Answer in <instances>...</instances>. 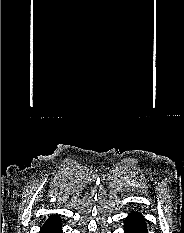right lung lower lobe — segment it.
<instances>
[{
	"label": "right lung lower lobe",
	"instance_id": "obj_1",
	"mask_svg": "<svg viewBox=\"0 0 184 233\" xmlns=\"http://www.w3.org/2000/svg\"><path fill=\"white\" fill-rule=\"evenodd\" d=\"M39 233H63L60 217L57 215L50 216V218L43 224Z\"/></svg>",
	"mask_w": 184,
	"mask_h": 233
}]
</instances>
